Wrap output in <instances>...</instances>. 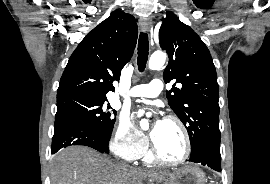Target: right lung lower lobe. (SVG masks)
I'll use <instances>...</instances> for the list:
<instances>
[{"label": "right lung lower lobe", "mask_w": 270, "mask_h": 184, "mask_svg": "<svg viewBox=\"0 0 270 184\" xmlns=\"http://www.w3.org/2000/svg\"><path fill=\"white\" fill-rule=\"evenodd\" d=\"M109 140L110 137L102 135L87 124L75 120H61L54 125L51 153L72 145L88 146L99 152L108 153Z\"/></svg>", "instance_id": "right-lung-lower-lobe-1"}]
</instances>
